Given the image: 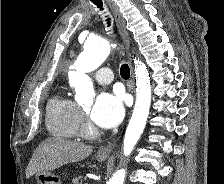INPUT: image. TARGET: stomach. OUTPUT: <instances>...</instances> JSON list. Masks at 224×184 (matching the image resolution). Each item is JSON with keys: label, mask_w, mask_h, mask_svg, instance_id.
<instances>
[{"label": "stomach", "mask_w": 224, "mask_h": 184, "mask_svg": "<svg viewBox=\"0 0 224 184\" xmlns=\"http://www.w3.org/2000/svg\"><path fill=\"white\" fill-rule=\"evenodd\" d=\"M106 159L107 157L97 156V160L99 162H103ZM36 181L38 184H62L59 176L46 171H40L36 173Z\"/></svg>", "instance_id": "obj_1"}]
</instances>
